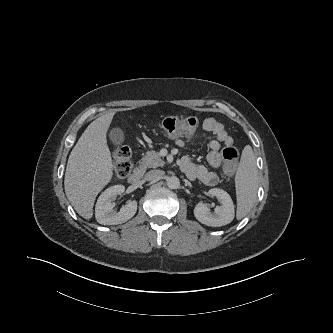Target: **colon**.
<instances>
[{
    "label": "colon",
    "instance_id": "obj_1",
    "mask_svg": "<svg viewBox=\"0 0 333 333\" xmlns=\"http://www.w3.org/2000/svg\"><path fill=\"white\" fill-rule=\"evenodd\" d=\"M161 128L171 137H179L184 134H192L199 125L195 116L167 117L161 121ZM224 172L231 176L235 173L238 162V150L233 145L226 146L222 151ZM115 175L117 178L127 177L132 169L131 152L127 146H119L114 153Z\"/></svg>",
    "mask_w": 333,
    "mask_h": 333
}]
</instances>
